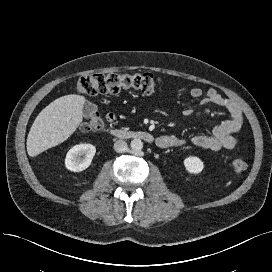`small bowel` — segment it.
<instances>
[{
  "label": "small bowel",
  "mask_w": 272,
  "mask_h": 272,
  "mask_svg": "<svg viewBox=\"0 0 272 272\" xmlns=\"http://www.w3.org/2000/svg\"><path fill=\"white\" fill-rule=\"evenodd\" d=\"M189 94L197 99L202 106L212 104L225 109L230 118L216 125L211 134H198L189 140L175 135H161L157 138L158 146L161 148H181L187 144H192L199 148L211 150L237 148L239 145L237 132L245 122L240 106L231 99L222 96L213 88L204 93L201 88L192 87L189 89ZM193 113V107H186L183 110V115L186 117L193 115Z\"/></svg>",
  "instance_id": "1"
}]
</instances>
